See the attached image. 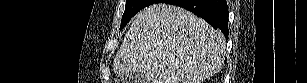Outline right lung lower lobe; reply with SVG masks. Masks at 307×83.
Listing matches in <instances>:
<instances>
[{"instance_id": "98d812e1", "label": "right lung lower lobe", "mask_w": 307, "mask_h": 83, "mask_svg": "<svg viewBox=\"0 0 307 83\" xmlns=\"http://www.w3.org/2000/svg\"><path fill=\"white\" fill-rule=\"evenodd\" d=\"M154 3H169L182 7L203 18L212 27L220 29L227 38L228 6L226 0H154Z\"/></svg>"}]
</instances>
